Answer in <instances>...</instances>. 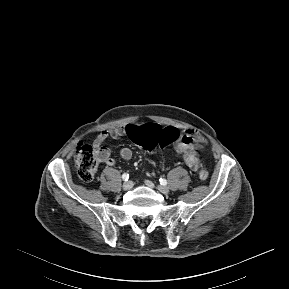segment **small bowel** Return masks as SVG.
<instances>
[{
    "label": "small bowel",
    "instance_id": "obj_1",
    "mask_svg": "<svg viewBox=\"0 0 289 289\" xmlns=\"http://www.w3.org/2000/svg\"><path fill=\"white\" fill-rule=\"evenodd\" d=\"M128 135L127 128L117 127L111 130L101 131L95 139V145L99 148L101 154V162H104L108 166H113L115 160L111 158L109 149L100 147V145L108 138L120 139ZM205 144V140L202 136L198 135L194 131H187L184 133L180 140L175 143V149L180 154L186 164L193 170H197L199 167L198 151ZM120 156L124 160H130L132 158V150L128 147H122L119 151Z\"/></svg>",
    "mask_w": 289,
    "mask_h": 289
}]
</instances>
